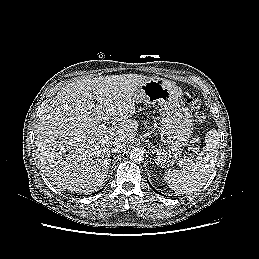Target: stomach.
<instances>
[{"label":"stomach","instance_id":"0dacf381","mask_svg":"<svg viewBox=\"0 0 259 259\" xmlns=\"http://www.w3.org/2000/svg\"><path fill=\"white\" fill-rule=\"evenodd\" d=\"M136 104L147 103L160 107V130L164 144L153 149L156 163L163 168L179 160L182 147L193 134V118L181 102L180 88L162 78H151L135 93Z\"/></svg>","mask_w":259,"mask_h":259}]
</instances>
